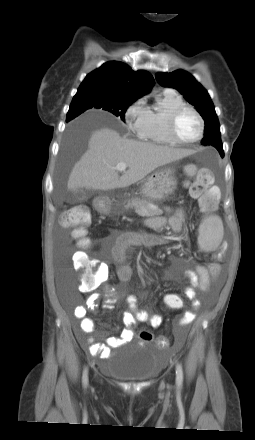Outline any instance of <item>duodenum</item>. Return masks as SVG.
I'll return each mask as SVG.
<instances>
[{"instance_id": "obj_1", "label": "duodenum", "mask_w": 255, "mask_h": 440, "mask_svg": "<svg viewBox=\"0 0 255 440\" xmlns=\"http://www.w3.org/2000/svg\"><path fill=\"white\" fill-rule=\"evenodd\" d=\"M96 207H97V209H98L99 211L104 212V211L106 210V205H105L104 200H100V201H98L97 204H96Z\"/></svg>"}]
</instances>
